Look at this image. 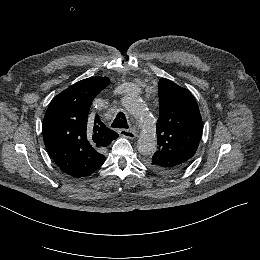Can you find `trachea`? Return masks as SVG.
Instances as JSON below:
<instances>
[{
  "instance_id": "trachea-1",
  "label": "trachea",
  "mask_w": 260,
  "mask_h": 260,
  "mask_svg": "<svg viewBox=\"0 0 260 260\" xmlns=\"http://www.w3.org/2000/svg\"><path fill=\"white\" fill-rule=\"evenodd\" d=\"M112 128H128V122L124 113L119 112L115 117L113 123L111 124Z\"/></svg>"
}]
</instances>
